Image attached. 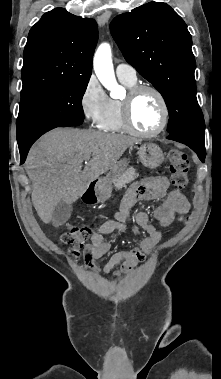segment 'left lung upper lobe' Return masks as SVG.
<instances>
[{
    "label": "left lung upper lobe",
    "instance_id": "5c2ea615",
    "mask_svg": "<svg viewBox=\"0 0 221 379\" xmlns=\"http://www.w3.org/2000/svg\"><path fill=\"white\" fill-rule=\"evenodd\" d=\"M110 29L126 61L163 96L169 135L205 141L192 38L183 19L166 3L150 2L115 17Z\"/></svg>",
    "mask_w": 221,
    "mask_h": 379
}]
</instances>
